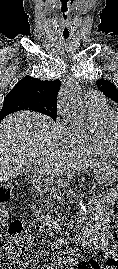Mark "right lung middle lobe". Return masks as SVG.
Instances as JSON below:
<instances>
[{
    "label": "right lung middle lobe",
    "mask_w": 118,
    "mask_h": 269,
    "mask_svg": "<svg viewBox=\"0 0 118 269\" xmlns=\"http://www.w3.org/2000/svg\"><path fill=\"white\" fill-rule=\"evenodd\" d=\"M20 110H32L43 113L54 120L57 117L56 105H42L27 96L12 94L7 95L4 99V104L0 111V120L6 115Z\"/></svg>",
    "instance_id": "right-lung-middle-lobe-1"
}]
</instances>
